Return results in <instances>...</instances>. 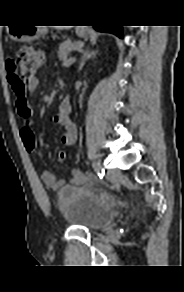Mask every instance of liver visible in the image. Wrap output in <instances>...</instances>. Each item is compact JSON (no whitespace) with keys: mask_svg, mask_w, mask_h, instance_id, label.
<instances>
[{"mask_svg":"<svg viewBox=\"0 0 184 292\" xmlns=\"http://www.w3.org/2000/svg\"><path fill=\"white\" fill-rule=\"evenodd\" d=\"M66 28L65 26H58V29Z\"/></svg>","mask_w":184,"mask_h":292,"instance_id":"liver-1","label":"liver"}]
</instances>
